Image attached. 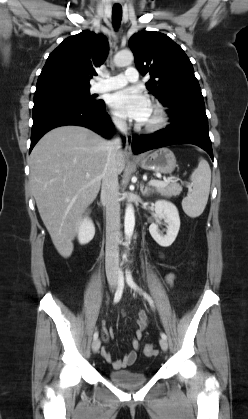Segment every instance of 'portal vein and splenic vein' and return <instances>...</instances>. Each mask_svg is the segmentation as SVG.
<instances>
[{
	"mask_svg": "<svg viewBox=\"0 0 248 419\" xmlns=\"http://www.w3.org/2000/svg\"><path fill=\"white\" fill-rule=\"evenodd\" d=\"M170 182H175V178L170 177V178L165 179L164 181L150 180L148 185H150V186H166ZM188 187L190 188V186H188Z\"/></svg>",
	"mask_w": 248,
	"mask_h": 419,
	"instance_id": "obj_1",
	"label": "portal vein and splenic vein"
}]
</instances>
